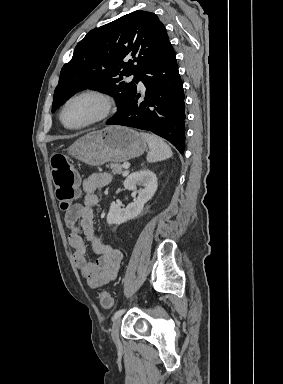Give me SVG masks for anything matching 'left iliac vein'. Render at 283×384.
<instances>
[{
	"instance_id": "4c4485c4",
	"label": "left iliac vein",
	"mask_w": 283,
	"mask_h": 384,
	"mask_svg": "<svg viewBox=\"0 0 283 384\" xmlns=\"http://www.w3.org/2000/svg\"><path fill=\"white\" fill-rule=\"evenodd\" d=\"M120 324H121V318L118 317L114 320L112 325V330H111L112 339L118 348L121 347V342L119 338Z\"/></svg>"
}]
</instances>
